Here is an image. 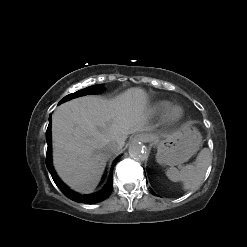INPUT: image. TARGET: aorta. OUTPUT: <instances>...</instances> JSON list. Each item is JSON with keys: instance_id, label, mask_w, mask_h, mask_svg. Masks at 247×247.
Masks as SVG:
<instances>
[{"instance_id": "obj_1", "label": "aorta", "mask_w": 247, "mask_h": 247, "mask_svg": "<svg viewBox=\"0 0 247 247\" xmlns=\"http://www.w3.org/2000/svg\"><path fill=\"white\" fill-rule=\"evenodd\" d=\"M129 155L131 158L135 159V160H142L145 158L146 156V150L144 145L139 142V141H133L130 145H129Z\"/></svg>"}]
</instances>
